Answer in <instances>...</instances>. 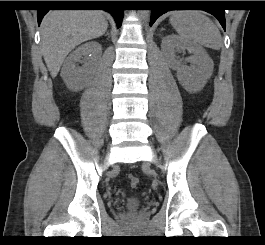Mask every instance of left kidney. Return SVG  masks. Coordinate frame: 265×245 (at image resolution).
I'll use <instances>...</instances> for the list:
<instances>
[{"label": "left kidney", "instance_id": "obj_1", "mask_svg": "<svg viewBox=\"0 0 265 245\" xmlns=\"http://www.w3.org/2000/svg\"><path fill=\"white\" fill-rule=\"evenodd\" d=\"M162 52L170 68L176 70L179 83L190 93L203 89L211 77L214 64L207 52L198 44L182 39L177 35H168L163 38ZM187 50L191 56V66L183 65L176 53Z\"/></svg>", "mask_w": 265, "mask_h": 245}]
</instances>
